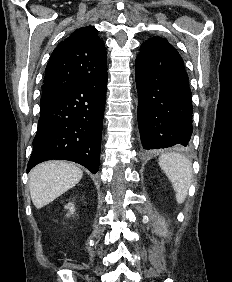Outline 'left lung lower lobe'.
Here are the masks:
<instances>
[{"label":"left lung lower lobe","mask_w":232,"mask_h":282,"mask_svg":"<svg viewBox=\"0 0 232 282\" xmlns=\"http://www.w3.org/2000/svg\"><path fill=\"white\" fill-rule=\"evenodd\" d=\"M135 79L143 149L189 147L191 90L177 50L164 38L144 42L136 58Z\"/></svg>","instance_id":"0a47b994"}]
</instances>
